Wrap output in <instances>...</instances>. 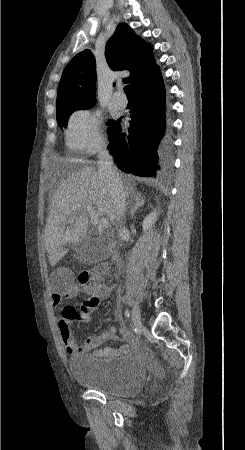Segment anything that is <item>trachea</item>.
<instances>
[{"instance_id": "trachea-1", "label": "trachea", "mask_w": 245, "mask_h": 450, "mask_svg": "<svg viewBox=\"0 0 245 450\" xmlns=\"http://www.w3.org/2000/svg\"><path fill=\"white\" fill-rule=\"evenodd\" d=\"M124 92L126 93L127 96L131 95L130 89H129V85H126V86L124 87Z\"/></svg>"}]
</instances>
